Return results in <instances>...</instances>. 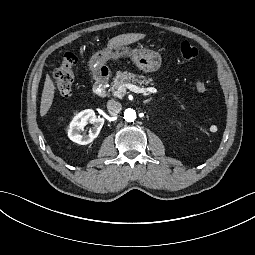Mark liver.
Masks as SVG:
<instances>
[{"label":"liver","instance_id":"6515ba94","mask_svg":"<svg viewBox=\"0 0 255 255\" xmlns=\"http://www.w3.org/2000/svg\"><path fill=\"white\" fill-rule=\"evenodd\" d=\"M145 36H146L145 34H140V33H128V34L118 35L110 39L108 41L107 46L108 48H112V47H119L122 45H128L140 39H143ZM54 91H55L54 83L51 80L50 76L47 74L45 83H44L43 92H42V97H41V105H40L41 116L46 115L49 108L51 107L53 98H54Z\"/></svg>","mask_w":255,"mask_h":255}]
</instances>
